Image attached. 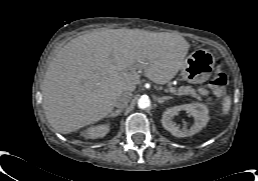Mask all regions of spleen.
<instances>
[{
    "instance_id": "spleen-1",
    "label": "spleen",
    "mask_w": 258,
    "mask_h": 181,
    "mask_svg": "<svg viewBox=\"0 0 258 181\" xmlns=\"http://www.w3.org/2000/svg\"><path fill=\"white\" fill-rule=\"evenodd\" d=\"M231 107V97L230 96H225L222 102V116H225L228 114L229 110Z\"/></svg>"
}]
</instances>
